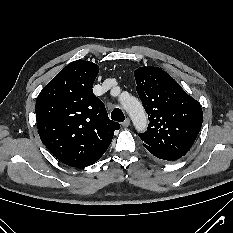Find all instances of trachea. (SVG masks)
Masks as SVG:
<instances>
[{
    "label": "trachea",
    "instance_id": "trachea-1",
    "mask_svg": "<svg viewBox=\"0 0 233 233\" xmlns=\"http://www.w3.org/2000/svg\"><path fill=\"white\" fill-rule=\"evenodd\" d=\"M111 119L114 121L122 122L125 120V116L121 109L115 108L111 113Z\"/></svg>",
    "mask_w": 233,
    "mask_h": 233
}]
</instances>
